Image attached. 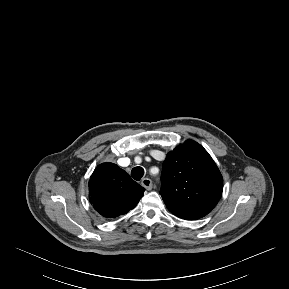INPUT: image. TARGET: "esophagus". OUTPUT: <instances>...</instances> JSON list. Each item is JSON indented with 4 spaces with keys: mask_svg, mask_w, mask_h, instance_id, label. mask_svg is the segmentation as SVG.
I'll use <instances>...</instances> for the list:
<instances>
[{
    "mask_svg": "<svg viewBox=\"0 0 289 289\" xmlns=\"http://www.w3.org/2000/svg\"><path fill=\"white\" fill-rule=\"evenodd\" d=\"M141 184L146 190H151L153 187L152 181L149 178L142 179Z\"/></svg>",
    "mask_w": 289,
    "mask_h": 289,
    "instance_id": "obj_1",
    "label": "esophagus"
}]
</instances>
